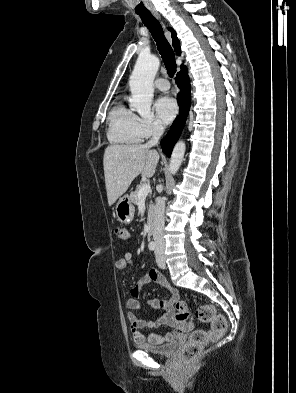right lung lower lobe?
<instances>
[{
  "label": "right lung lower lobe",
  "instance_id": "obj_1",
  "mask_svg": "<svg viewBox=\"0 0 296 393\" xmlns=\"http://www.w3.org/2000/svg\"><path fill=\"white\" fill-rule=\"evenodd\" d=\"M176 82L180 88V93L177 98L180 106V115L174 121L167 138L161 142L163 152L168 157H170L173 145L176 143L181 134L190 108V80L185 66H181V70L178 72L176 77Z\"/></svg>",
  "mask_w": 296,
  "mask_h": 393
}]
</instances>
